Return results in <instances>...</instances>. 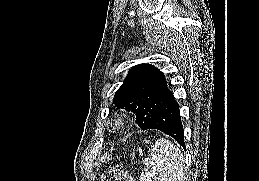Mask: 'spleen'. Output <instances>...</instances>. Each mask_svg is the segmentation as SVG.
<instances>
[{
	"mask_svg": "<svg viewBox=\"0 0 259 181\" xmlns=\"http://www.w3.org/2000/svg\"><path fill=\"white\" fill-rule=\"evenodd\" d=\"M143 163L147 168L141 181H184V156L170 140L158 139Z\"/></svg>",
	"mask_w": 259,
	"mask_h": 181,
	"instance_id": "spleen-1",
	"label": "spleen"
}]
</instances>
